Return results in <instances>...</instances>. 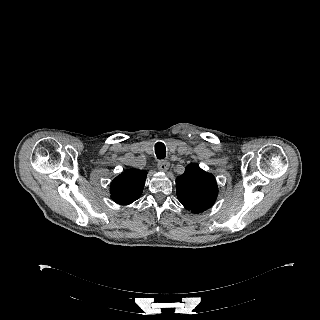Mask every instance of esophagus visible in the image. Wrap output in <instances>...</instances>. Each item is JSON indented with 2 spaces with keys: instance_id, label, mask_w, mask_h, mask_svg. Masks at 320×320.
Instances as JSON below:
<instances>
[{
  "instance_id": "34e87169",
  "label": "esophagus",
  "mask_w": 320,
  "mask_h": 320,
  "mask_svg": "<svg viewBox=\"0 0 320 320\" xmlns=\"http://www.w3.org/2000/svg\"><path fill=\"white\" fill-rule=\"evenodd\" d=\"M169 166L170 164L167 160H162L157 164L158 169L163 172L167 171L169 169Z\"/></svg>"
}]
</instances>
